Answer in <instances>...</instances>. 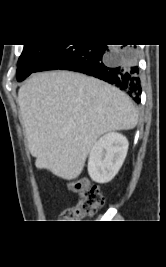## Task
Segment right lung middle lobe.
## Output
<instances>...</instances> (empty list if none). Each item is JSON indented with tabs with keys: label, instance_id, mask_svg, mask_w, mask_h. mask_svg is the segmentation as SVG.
I'll return each mask as SVG.
<instances>
[{
	"label": "right lung middle lobe",
	"instance_id": "right-lung-middle-lobe-1",
	"mask_svg": "<svg viewBox=\"0 0 166 267\" xmlns=\"http://www.w3.org/2000/svg\"><path fill=\"white\" fill-rule=\"evenodd\" d=\"M57 47V44L24 45L17 64V80L20 82L33 73Z\"/></svg>",
	"mask_w": 166,
	"mask_h": 267
}]
</instances>
